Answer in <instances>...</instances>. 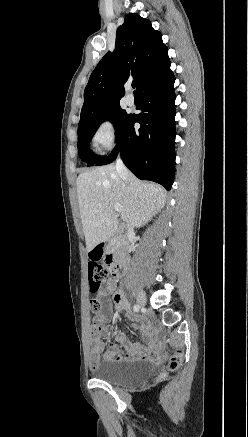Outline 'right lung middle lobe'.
<instances>
[{
	"mask_svg": "<svg viewBox=\"0 0 248 437\" xmlns=\"http://www.w3.org/2000/svg\"><path fill=\"white\" fill-rule=\"evenodd\" d=\"M131 114H127L120 105L115 106L104 112L90 116L79 123L78 126V150L82 160L87 162V165H93L103 159L101 156L93 155L89 151V143L98 126L109 120L113 123L116 130V141L119 139L124 127L129 121Z\"/></svg>",
	"mask_w": 248,
	"mask_h": 437,
	"instance_id": "right-lung-middle-lobe-1",
	"label": "right lung middle lobe"
}]
</instances>
